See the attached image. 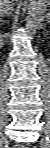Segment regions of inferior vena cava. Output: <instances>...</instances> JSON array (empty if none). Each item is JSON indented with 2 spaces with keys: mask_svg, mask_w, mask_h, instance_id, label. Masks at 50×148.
Segmentation results:
<instances>
[{
  "mask_svg": "<svg viewBox=\"0 0 50 148\" xmlns=\"http://www.w3.org/2000/svg\"><path fill=\"white\" fill-rule=\"evenodd\" d=\"M13 0H4L2 3V10H11L12 9V3Z\"/></svg>",
  "mask_w": 50,
  "mask_h": 148,
  "instance_id": "obj_1",
  "label": "inferior vena cava"
}]
</instances>
